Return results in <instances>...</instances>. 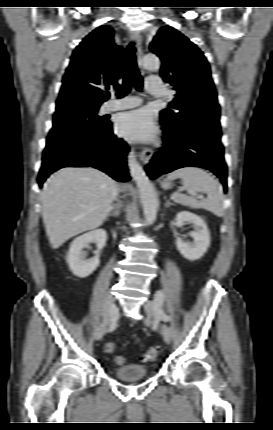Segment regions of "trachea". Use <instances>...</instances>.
Listing matches in <instances>:
<instances>
[{"label": "trachea", "mask_w": 273, "mask_h": 430, "mask_svg": "<svg viewBox=\"0 0 273 430\" xmlns=\"http://www.w3.org/2000/svg\"><path fill=\"white\" fill-rule=\"evenodd\" d=\"M135 46L134 43H130L127 52H126V60H125V71L126 75L123 80V85L120 87L117 96L122 98L126 96L132 86H135L137 90L142 89V77L137 68V62L135 57Z\"/></svg>", "instance_id": "1"}]
</instances>
